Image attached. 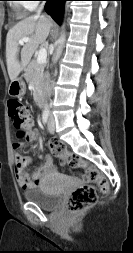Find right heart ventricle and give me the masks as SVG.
I'll use <instances>...</instances> for the list:
<instances>
[{"label": "right heart ventricle", "instance_id": "e07e8e85", "mask_svg": "<svg viewBox=\"0 0 133 253\" xmlns=\"http://www.w3.org/2000/svg\"><path fill=\"white\" fill-rule=\"evenodd\" d=\"M12 7L20 14L22 15L24 13V10L26 9L24 4L21 2H14L12 4Z\"/></svg>", "mask_w": 133, "mask_h": 253}]
</instances>
